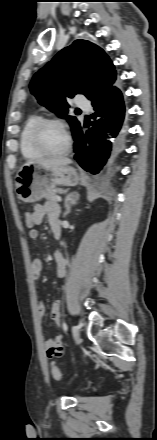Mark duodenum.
Instances as JSON below:
<instances>
[{"instance_id": "410a0bca", "label": "duodenum", "mask_w": 157, "mask_h": 440, "mask_svg": "<svg viewBox=\"0 0 157 440\" xmlns=\"http://www.w3.org/2000/svg\"><path fill=\"white\" fill-rule=\"evenodd\" d=\"M52 231H53L54 237H55L56 239H59V238H60V235H61L60 226L54 228Z\"/></svg>"}]
</instances>
